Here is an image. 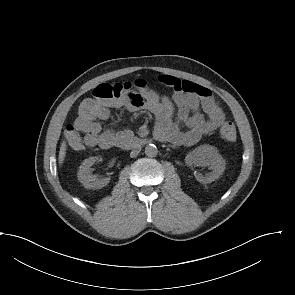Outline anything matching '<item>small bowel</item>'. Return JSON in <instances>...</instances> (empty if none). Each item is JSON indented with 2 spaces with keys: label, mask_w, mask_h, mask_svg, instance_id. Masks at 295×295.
Here are the masks:
<instances>
[{
  "label": "small bowel",
  "mask_w": 295,
  "mask_h": 295,
  "mask_svg": "<svg viewBox=\"0 0 295 295\" xmlns=\"http://www.w3.org/2000/svg\"><path fill=\"white\" fill-rule=\"evenodd\" d=\"M159 81L173 89L172 100L154 90L131 92L110 103L98 104L90 114L79 113L66 129V138L74 150L86 147L110 149L123 133L102 130L99 121L109 118L110 108L129 111L147 110L155 116L154 136L177 146H192L203 136L216 131L225 115L206 87L171 75H161Z\"/></svg>",
  "instance_id": "small-bowel-1"
}]
</instances>
